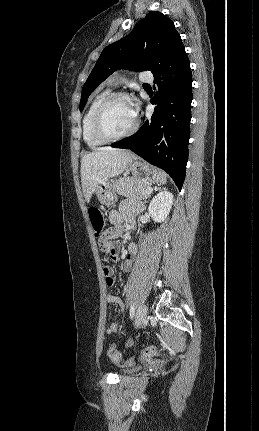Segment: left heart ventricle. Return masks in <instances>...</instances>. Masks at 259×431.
<instances>
[{
	"instance_id": "left-heart-ventricle-1",
	"label": "left heart ventricle",
	"mask_w": 259,
	"mask_h": 431,
	"mask_svg": "<svg viewBox=\"0 0 259 431\" xmlns=\"http://www.w3.org/2000/svg\"><path fill=\"white\" fill-rule=\"evenodd\" d=\"M136 115L128 99L115 101L107 110L104 126L109 134L118 135L128 131L135 122Z\"/></svg>"
}]
</instances>
